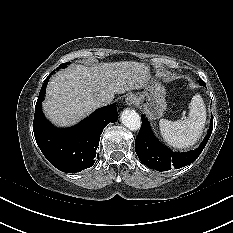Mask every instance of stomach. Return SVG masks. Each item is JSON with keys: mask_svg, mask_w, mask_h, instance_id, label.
Masks as SVG:
<instances>
[{"mask_svg": "<svg viewBox=\"0 0 233 233\" xmlns=\"http://www.w3.org/2000/svg\"><path fill=\"white\" fill-rule=\"evenodd\" d=\"M165 88L156 81L146 85L145 90L134 95L135 103L143 108L150 119L161 118L166 110Z\"/></svg>", "mask_w": 233, "mask_h": 233, "instance_id": "stomach-1", "label": "stomach"}]
</instances>
